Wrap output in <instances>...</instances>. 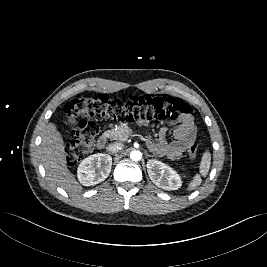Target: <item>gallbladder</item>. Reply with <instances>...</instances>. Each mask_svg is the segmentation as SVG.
I'll return each instance as SVG.
<instances>
[{
  "mask_svg": "<svg viewBox=\"0 0 267 267\" xmlns=\"http://www.w3.org/2000/svg\"><path fill=\"white\" fill-rule=\"evenodd\" d=\"M71 124H75L76 123V120L75 119H70L69 121Z\"/></svg>",
  "mask_w": 267,
  "mask_h": 267,
  "instance_id": "gallbladder-1",
  "label": "gallbladder"
}]
</instances>
